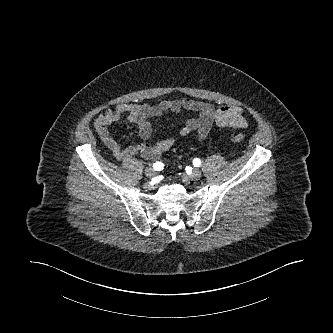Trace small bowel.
I'll return each mask as SVG.
<instances>
[{"mask_svg":"<svg viewBox=\"0 0 333 333\" xmlns=\"http://www.w3.org/2000/svg\"><path fill=\"white\" fill-rule=\"evenodd\" d=\"M183 111L194 112L196 116L187 119L180 128L179 134L182 137L194 134L198 140H203L207 137L213 125L225 130H238L247 126V122L238 107L224 106L214 108L208 103L188 98L166 99L156 105L119 104L99 114L93 124L100 140L117 160H126L137 153H140L146 159H156L173 147L175 144L174 137H168L153 143H133L122 147L119 141L111 134L109 126L126 115L128 121L137 124L141 139L146 141L152 135L151 119L167 113H181Z\"/></svg>","mask_w":333,"mask_h":333,"instance_id":"1","label":"small bowel"}]
</instances>
